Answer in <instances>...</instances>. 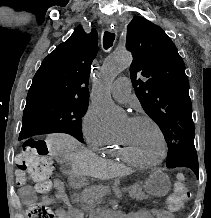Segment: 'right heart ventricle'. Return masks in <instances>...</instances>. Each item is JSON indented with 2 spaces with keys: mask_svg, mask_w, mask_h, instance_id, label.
Returning a JSON list of instances; mask_svg holds the SVG:
<instances>
[{
  "mask_svg": "<svg viewBox=\"0 0 211 218\" xmlns=\"http://www.w3.org/2000/svg\"><path fill=\"white\" fill-rule=\"evenodd\" d=\"M103 155L115 158L120 161L132 163L121 151L119 145L116 142V138L112 135L103 145L96 149Z\"/></svg>",
  "mask_w": 211,
  "mask_h": 218,
  "instance_id": "1",
  "label": "right heart ventricle"
}]
</instances>
